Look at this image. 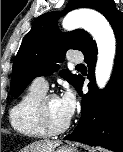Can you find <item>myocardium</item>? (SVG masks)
Instances as JSON below:
<instances>
[{"label": "myocardium", "mask_w": 123, "mask_h": 152, "mask_svg": "<svg viewBox=\"0 0 123 152\" xmlns=\"http://www.w3.org/2000/svg\"><path fill=\"white\" fill-rule=\"evenodd\" d=\"M55 98H58L56 94L44 95L40 99L37 105L38 121L41 127L44 129V131L49 135H57V134L63 133L69 128L71 124L70 119L65 124L60 125V126H56L51 122V119L48 113V103L50 100L55 99Z\"/></svg>", "instance_id": "myocardium-1"}]
</instances>
